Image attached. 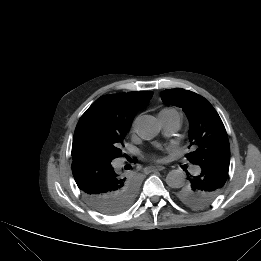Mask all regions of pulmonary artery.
I'll return each instance as SVG.
<instances>
[{
    "instance_id": "pulmonary-artery-1",
    "label": "pulmonary artery",
    "mask_w": 261,
    "mask_h": 261,
    "mask_svg": "<svg viewBox=\"0 0 261 261\" xmlns=\"http://www.w3.org/2000/svg\"><path fill=\"white\" fill-rule=\"evenodd\" d=\"M159 120L164 130L169 133H175L179 130L181 125V114L175 109L162 110L159 113ZM192 170L197 173L200 171L199 167L194 166Z\"/></svg>"
}]
</instances>
